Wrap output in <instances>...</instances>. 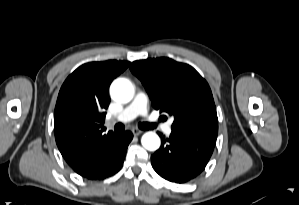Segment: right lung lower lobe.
Returning <instances> with one entry per match:
<instances>
[{
  "label": "right lung lower lobe",
  "mask_w": 299,
  "mask_h": 205,
  "mask_svg": "<svg viewBox=\"0 0 299 205\" xmlns=\"http://www.w3.org/2000/svg\"><path fill=\"white\" fill-rule=\"evenodd\" d=\"M131 132L114 135L109 140L87 152L74 167V171L90 180H103L117 173L122 167Z\"/></svg>",
  "instance_id": "98d812e1"
}]
</instances>
